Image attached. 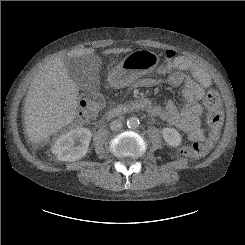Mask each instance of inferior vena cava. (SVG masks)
<instances>
[{
  "label": "inferior vena cava",
  "mask_w": 245,
  "mask_h": 245,
  "mask_svg": "<svg viewBox=\"0 0 245 245\" xmlns=\"http://www.w3.org/2000/svg\"><path fill=\"white\" fill-rule=\"evenodd\" d=\"M110 128L112 131H120L122 128V122L120 120H114L111 122Z\"/></svg>",
  "instance_id": "inferior-vena-cava-1"
}]
</instances>
